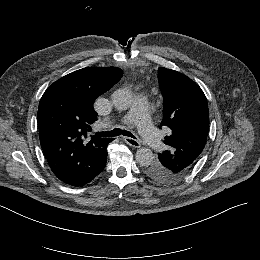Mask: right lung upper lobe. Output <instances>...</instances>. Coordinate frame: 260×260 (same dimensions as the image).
Instances as JSON below:
<instances>
[{"instance_id": "cb5924a9", "label": "right lung upper lobe", "mask_w": 260, "mask_h": 260, "mask_svg": "<svg viewBox=\"0 0 260 260\" xmlns=\"http://www.w3.org/2000/svg\"><path fill=\"white\" fill-rule=\"evenodd\" d=\"M121 76L117 67H86L60 78L43 94L38 108L40 143L62 182L85 177L106 162V147L113 139L86 138L97 120L94 100Z\"/></svg>"}]
</instances>
